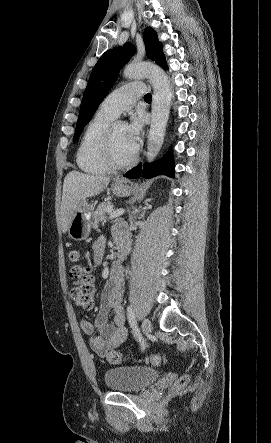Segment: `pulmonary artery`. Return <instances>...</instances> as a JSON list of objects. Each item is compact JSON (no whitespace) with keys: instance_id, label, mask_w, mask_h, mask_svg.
I'll return each mask as SVG.
<instances>
[{"instance_id":"e3ab8cb5","label":"pulmonary artery","mask_w":271,"mask_h":443,"mask_svg":"<svg viewBox=\"0 0 271 443\" xmlns=\"http://www.w3.org/2000/svg\"><path fill=\"white\" fill-rule=\"evenodd\" d=\"M144 85L139 82L126 84L111 92L100 104L98 111L113 118L130 109L143 94Z\"/></svg>"}]
</instances>
